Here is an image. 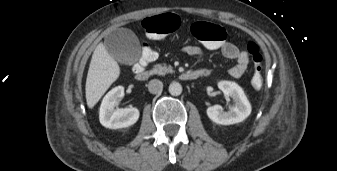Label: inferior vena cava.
<instances>
[{"label": "inferior vena cava", "instance_id": "1", "mask_svg": "<svg viewBox=\"0 0 337 171\" xmlns=\"http://www.w3.org/2000/svg\"><path fill=\"white\" fill-rule=\"evenodd\" d=\"M148 90L152 94L161 93L163 90V83L158 79H153L148 84Z\"/></svg>", "mask_w": 337, "mask_h": 171}]
</instances>
